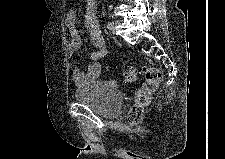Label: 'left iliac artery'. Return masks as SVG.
Here are the masks:
<instances>
[{
    "label": "left iliac artery",
    "instance_id": "44dca946",
    "mask_svg": "<svg viewBox=\"0 0 225 159\" xmlns=\"http://www.w3.org/2000/svg\"><path fill=\"white\" fill-rule=\"evenodd\" d=\"M112 22H108L107 23V28H109L111 26Z\"/></svg>",
    "mask_w": 225,
    "mask_h": 159
}]
</instances>
